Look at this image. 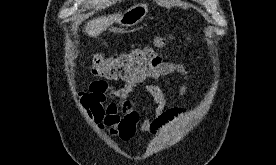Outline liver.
Segmentation results:
<instances>
[{
    "label": "liver",
    "instance_id": "obj_1",
    "mask_svg": "<svg viewBox=\"0 0 276 165\" xmlns=\"http://www.w3.org/2000/svg\"><path fill=\"white\" fill-rule=\"evenodd\" d=\"M122 14L116 13L108 16H101L95 18L89 22L85 26V32L89 37H96L106 28H108L113 22H117V20L121 17Z\"/></svg>",
    "mask_w": 276,
    "mask_h": 165
}]
</instances>
